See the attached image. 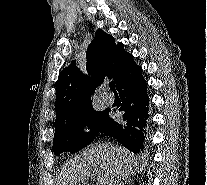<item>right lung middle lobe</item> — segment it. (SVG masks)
I'll return each mask as SVG.
<instances>
[{"label":"right lung middle lobe","mask_w":207,"mask_h":185,"mask_svg":"<svg viewBox=\"0 0 207 185\" xmlns=\"http://www.w3.org/2000/svg\"><path fill=\"white\" fill-rule=\"evenodd\" d=\"M110 109L104 111H89L71 119L66 124L55 128L52 150L59 156L62 152L75 153L86 147L92 138L101 131L102 127L111 119ZM88 126L89 133H83Z\"/></svg>","instance_id":"dd1d6c3e"}]
</instances>
